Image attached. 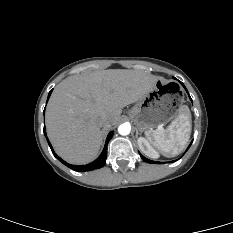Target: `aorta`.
I'll return each instance as SVG.
<instances>
[{"instance_id": "aorta-1", "label": "aorta", "mask_w": 233, "mask_h": 233, "mask_svg": "<svg viewBox=\"0 0 233 233\" xmlns=\"http://www.w3.org/2000/svg\"><path fill=\"white\" fill-rule=\"evenodd\" d=\"M130 131H131V126L129 124H127V123L121 124L118 127V132L122 136L128 135L130 133Z\"/></svg>"}]
</instances>
